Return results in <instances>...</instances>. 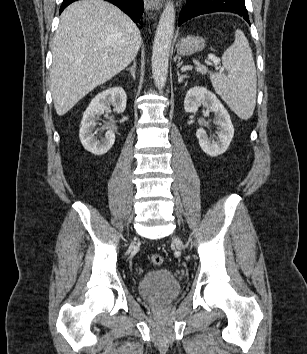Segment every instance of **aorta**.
<instances>
[{"instance_id":"1","label":"aorta","mask_w":307,"mask_h":354,"mask_svg":"<svg viewBox=\"0 0 307 354\" xmlns=\"http://www.w3.org/2000/svg\"><path fill=\"white\" fill-rule=\"evenodd\" d=\"M175 8L168 2L161 14L152 51V74L158 89L165 86L168 75L170 47L174 34Z\"/></svg>"}]
</instances>
